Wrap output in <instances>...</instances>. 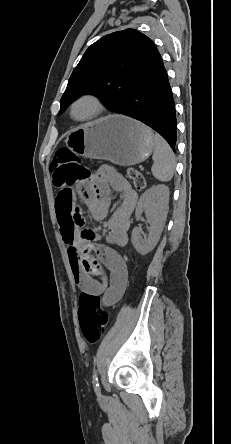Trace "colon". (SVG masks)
I'll return each mask as SVG.
<instances>
[{
    "label": "colon",
    "instance_id": "1",
    "mask_svg": "<svg viewBox=\"0 0 231 444\" xmlns=\"http://www.w3.org/2000/svg\"><path fill=\"white\" fill-rule=\"evenodd\" d=\"M50 172L56 185L66 187L86 180L90 176L89 171L81 164L79 158L67 148L57 150L50 164ZM128 175L137 189L145 188V179L138 170L130 168ZM78 226L86 235H93L91 230L84 227L82 219L79 220ZM79 320L82 334L89 343H95L101 339L109 321V313L100 305L99 296L86 292L81 293Z\"/></svg>",
    "mask_w": 231,
    "mask_h": 444
}]
</instances>
